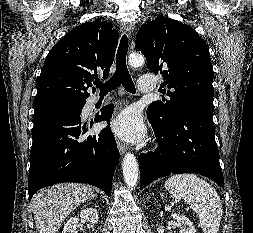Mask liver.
Returning a JSON list of instances; mask_svg holds the SVG:
<instances>
[{"instance_id":"6515ba94","label":"liver","mask_w":253,"mask_h":233,"mask_svg":"<svg viewBox=\"0 0 253 233\" xmlns=\"http://www.w3.org/2000/svg\"><path fill=\"white\" fill-rule=\"evenodd\" d=\"M88 185L65 183L41 190L31 200L39 233H57L62 222L82 203L94 198Z\"/></svg>"}]
</instances>
